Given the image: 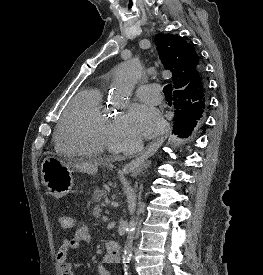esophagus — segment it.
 <instances>
[{"instance_id":"obj_1","label":"esophagus","mask_w":263,"mask_h":275,"mask_svg":"<svg viewBox=\"0 0 263 275\" xmlns=\"http://www.w3.org/2000/svg\"><path fill=\"white\" fill-rule=\"evenodd\" d=\"M166 135L167 133L163 132L157 139L153 140L140 156H138L122 168V172L125 174H129L137 173L143 170L145 168L144 162L158 150V148L164 142Z\"/></svg>"}]
</instances>
